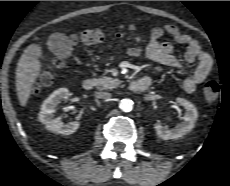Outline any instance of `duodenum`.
<instances>
[{
  "instance_id": "1",
  "label": "duodenum",
  "mask_w": 230,
  "mask_h": 186,
  "mask_svg": "<svg viewBox=\"0 0 230 186\" xmlns=\"http://www.w3.org/2000/svg\"><path fill=\"white\" fill-rule=\"evenodd\" d=\"M151 85V79L149 77H142L137 80L131 81L129 87L133 92H143L147 90ZM82 87L86 91H91L95 87V81L91 78H87L83 81Z\"/></svg>"
}]
</instances>
